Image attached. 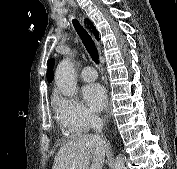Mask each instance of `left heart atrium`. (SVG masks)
Here are the masks:
<instances>
[{
	"label": "left heart atrium",
	"mask_w": 177,
	"mask_h": 169,
	"mask_svg": "<svg viewBox=\"0 0 177 169\" xmlns=\"http://www.w3.org/2000/svg\"><path fill=\"white\" fill-rule=\"evenodd\" d=\"M82 95L85 103L92 111L100 112L107 104L106 90L98 83L85 86L82 90Z\"/></svg>",
	"instance_id": "obj_1"
}]
</instances>
